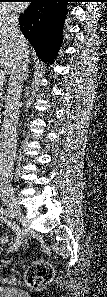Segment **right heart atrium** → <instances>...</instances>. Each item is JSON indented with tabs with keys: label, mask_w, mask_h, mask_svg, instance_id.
I'll list each match as a JSON object with an SVG mask.
<instances>
[{
	"label": "right heart atrium",
	"mask_w": 107,
	"mask_h": 297,
	"mask_svg": "<svg viewBox=\"0 0 107 297\" xmlns=\"http://www.w3.org/2000/svg\"><path fill=\"white\" fill-rule=\"evenodd\" d=\"M13 15L11 11L6 7H0V20H11Z\"/></svg>",
	"instance_id": "1"
}]
</instances>
